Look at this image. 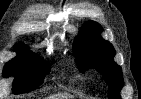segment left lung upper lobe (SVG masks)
Returning a JSON list of instances; mask_svg holds the SVG:
<instances>
[{
  "label": "left lung upper lobe",
  "mask_w": 141,
  "mask_h": 99,
  "mask_svg": "<svg viewBox=\"0 0 141 99\" xmlns=\"http://www.w3.org/2000/svg\"><path fill=\"white\" fill-rule=\"evenodd\" d=\"M101 32L102 27L94 21L83 25L74 43L77 64L81 72L89 68L100 72L109 84V98L120 99L119 92L123 86L121 67L114 62L115 50L100 36Z\"/></svg>",
  "instance_id": "left-lung-upper-lobe-1"
}]
</instances>
